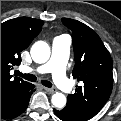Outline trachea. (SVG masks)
<instances>
[{"mask_svg": "<svg viewBox=\"0 0 121 121\" xmlns=\"http://www.w3.org/2000/svg\"><path fill=\"white\" fill-rule=\"evenodd\" d=\"M16 74L28 81H32V82H35L37 80V77L33 74H23L19 71H16ZM41 84L48 87V88H51L52 87V83L50 81H47V80H41Z\"/></svg>", "mask_w": 121, "mask_h": 121, "instance_id": "1", "label": "trachea"}]
</instances>
